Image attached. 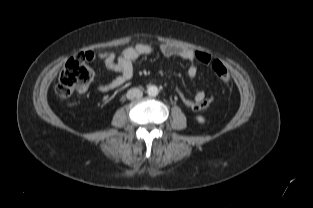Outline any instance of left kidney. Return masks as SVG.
I'll list each match as a JSON object with an SVG mask.
<instances>
[{"label": "left kidney", "mask_w": 313, "mask_h": 208, "mask_svg": "<svg viewBox=\"0 0 313 208\" xmlns=\"http://www.w3.org/2000/svg\"><path fill=\"white\" fill-rule=\"evenodd\" d=\"M197 121H198L199 123H204V118L201 117V116H198V117H197Z\"/></svg>", "instance_id": "1"}]
</instances>
